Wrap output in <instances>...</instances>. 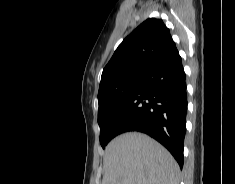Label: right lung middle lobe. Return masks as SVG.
Instances as JSON below:
<instances>
[{"label":"right lung middle lobe","instance_id":"obj_1","mask_svg":"<svg viewBox=\"0 0 235 184\" xmlns=\"http://www.w3.org/2000/svg\"><path fill=\"white\" fill-rule=\"evenodd\" d=\"M142 78L132 79L126 83L107 90L99 102L98 124L100 126V144L104 148L116 134L113 126L124 106L134 91L141 85Z\"/></svg>","mask_w":235,"mask_h":184}]
</instances>
